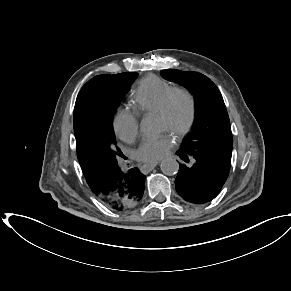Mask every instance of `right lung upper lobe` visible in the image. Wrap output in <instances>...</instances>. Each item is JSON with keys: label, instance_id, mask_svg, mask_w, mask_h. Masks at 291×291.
Listing matches in <instances>:
<instances>
[{"label": "right lung upper lobe", "instance_id": "cb5924a9", "mask_svg": "<svg viewBox=\"0 0 291 291\" xmlns=\"http://www.w3.org/2000/svg\"><path fill=\"white\" fill-rule=\"evenodd\" d=\"M76 144H77V157L89 187L91 188L95 195L97 196L103 195L105 188L98 178V172L99 168L101 167V164L79 148L77 139Z\"/></svg>", "mask_w": 291, "mask_h": 291}]
</instances>
